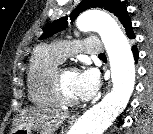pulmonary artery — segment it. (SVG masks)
I'll use <instances>...</instances> for the list:
<instances>
[{
    "label": "pulmonary artery",
    "instance_id": "1",
    "mask_svg": "<svg viewBox=\"0 0 153 134\" xmlns=\"http://www.w3.org/2000/svg\"><path fill=\"white\" fill-rule=\"evenodd\" d=\"M52 51L63 61L70 55L79 51L92 55L103 53V45L96 37H88L83 40L76 41H58L49 45Z\"/></svg>",
    "mask_w": 153,
    "mask_h": 134
}]
</instances>
